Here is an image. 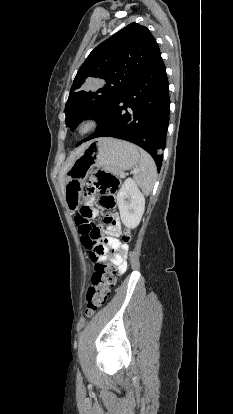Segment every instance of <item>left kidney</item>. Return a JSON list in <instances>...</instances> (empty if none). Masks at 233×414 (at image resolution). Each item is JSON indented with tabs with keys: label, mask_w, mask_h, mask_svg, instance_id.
<instances>
[{
	"label": "left kidney",
	"mask_w": 233,
	"mask_h": 414,
	"mask_svg": "<svg viewBox=\"0 0 233 414\" xmlns=\"http://www.w3.org/2000/svg\"><path fill=\"white\" fill-rule=\"evenodd\" d=\"M117 205L122 223L128 228H136L145 210V198L133 179L124 181L117 194Z\"/></svg>",
	"instance_id": "1"
}]
</instances>
